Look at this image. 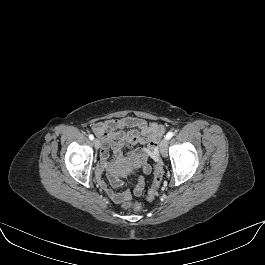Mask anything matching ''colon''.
Returning a JSON list of instances; mask_svg holds the SVG:
<instances>
[{"label": "colon", "instance_id": "1", "mask_svg": "<svg viewBox=\"0 0 265 265\" xmlns=\"http://www.w3.org/2000/svg\"><path fill=\"white\" fill-rule=\"evenodd\" d=\"M155 166H154V175H153V181L150 189L147 192L146 199L147 201H152L155 199L158 188L161 184L162 178H163V168L160 163V160H155ZM123 207L126 209L132 208L135 211H140L142 209V204L140 202H129L126 201L123 203Z\"/></svg>", "mask_w": 265, "mask_h": 265}]
</instances>
